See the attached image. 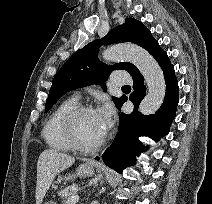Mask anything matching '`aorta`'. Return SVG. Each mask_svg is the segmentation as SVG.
I'll return each mask as SVG.
<instances>
[{
	"instance_id": "obj_1",
	"label": "aorta",
	"mask_w": 212,
	"mask_h": 204,
	"mask_svg": "<svg viewBox=\"0 0 212 204\" xmlns=\"http://www.w3.org/2000/svg\"><path fill=\"white\" fill-rule=\"evenodd\" d=\"M102 58L108 62L129 61L142 73L148 87V93L139 106L143 115L153 114L161 106L166 91L164 74L145 49L132 44H117L104 50Z\"/></svg>"
}]
</instances>
